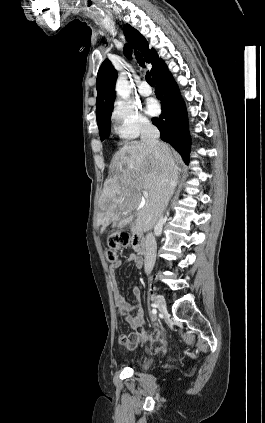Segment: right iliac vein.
<instances>
[{
    "label": "right iliac vein",
    "instance_id": "obj_1",
    "mask_svg": "<svg viewBox=\"0 0 265 423\" xmlns=\"http://www.w3.org/2000/svg\"><path fill=\"white\" fill-rule=\"evenodd\" d=\"M155 303L160 312H164L166 310L165 299L162 296L157 295L155 297Z\"/></svg>",
    "mask_w": 265,
    "mask_h": 423
}]
</instances>
